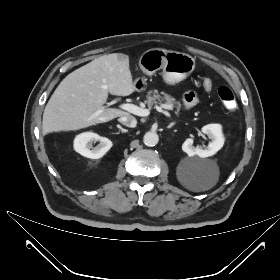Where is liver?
<instances>
[{
  "label": "liver",
  "mask_w": 280,
  "mask_h": 280,
  "mask_svg": "<svg viewBox=\"0 0 280 280\" xmlns=\"http://www.w3.org/2000/svg\"><path fill=\"white\" fill-rule=\"evenodd\" d=\"M135 89L127 55L101 56L61 81L44 109L42 133L74 131L130 115L104 104L108 94L128 96Z\"/></svg>",
  "instance_id": "6515ba94"
}]
</instances>
